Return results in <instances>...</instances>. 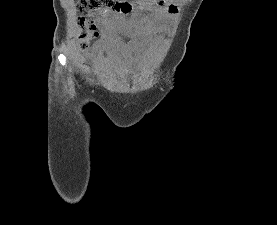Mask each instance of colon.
Masks as SVG:
<instances>
[{"label": "colon", "mask_w": 277, "mask_h": 225, "mask_svg": "<svg viewBox=\"0 0 277 225\" xmlns=\"http://www.w3.org/2000/svg\"><path fill=\"white\" fill-rule=\"evenodd\" d=\"M78 9L80 11H90L97 13L117 12L129 13L133 10V5L124 0H78ZM78 27L80 29L81 47L85 46V42L92 38L96 33L94 24L85 17L79 18Z\"/></svg>", "instance_id": "obj_1"}]
</instances>
